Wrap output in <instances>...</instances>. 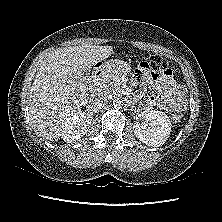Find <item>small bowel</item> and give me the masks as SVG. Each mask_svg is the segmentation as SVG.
<instances>
[{"label":"small bowel","instance_id":"1","mask_svg":"<svg viewBox=\"0 0 222 222\" xmlns=\"http://www.w3.org/2000/svg\"><path fill=\"white\" fill-rule=\"evenodd\" d=\"M137 77L139 78L137 82L140 91L139 98H144L142 92L145 85H151L156 90L147 99L149 105L166 111H179L184 108V89L173 79L171 69L168 68L166 72L160 75L151 72L137 73Z\"/></svg>","mask_w":222,"mask_h":222}]
</instances>
